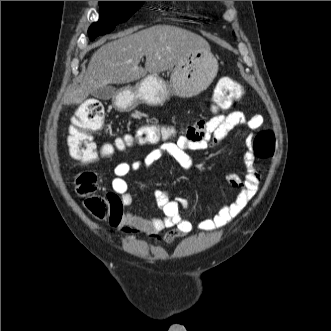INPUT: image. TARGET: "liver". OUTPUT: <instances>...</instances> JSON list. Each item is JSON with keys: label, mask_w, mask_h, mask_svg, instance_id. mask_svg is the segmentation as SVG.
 Instances as JSON below:
<instances>
[{"label": "liver", "mask_w": 331, "mask_h": 331, "mask_svg": "<svg viewBox=\"0 0 331 331\" xmlns=\"http://www.w3.org/2000/svg\"><path fill=\"white\" fill-rule=\"evenodd\" d=\"M208 45L201 36L170 25L122 33L92 55L86 72L80 76V85L64 102L80 104L100 87L133 82L148 72L156 75L173 69L188 53ZM143 56L145 68L139 66Z\"/></svg>", "instance_id": "6515ba94"}]
</instances>
